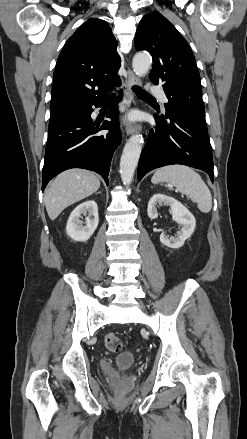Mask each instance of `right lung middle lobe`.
I'll return each instance as SVG.
<instances>
[{"label": "right lung middle lobe", "instance_id": "obj_1", "mask_svg": "<svg viewBox=\"0 0 247 439\" xmlns=\"http://www.w3.org/2000/svg\"><path fill=\"white\" fill-rule=\"evenodd\" d=\"M74 109V108H73ZM72 109L59 111V112H51L50 122L58 120L59 118L67 115Z\"/></svg>", "mask_w": 247, "mask_h": 439}]
</instances>
